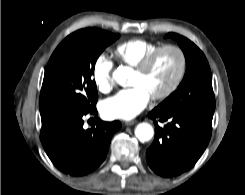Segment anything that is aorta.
<instances>
[{
    "instance_id": "762f6f07",
    "label": "aorta",
    "mask_w": 245,
    "mask_h": 195,
    "mask_svg": "<svg viewBox=\"0 0 245 195\" xmlns=\"http://www.w3.org/2000/svg\"><path fill=\"white\" fill-rule=\"evenodd\" d=\"M113 79L121 86L127 83V70L124 67H119L113 72ZM154 135L153 127L148 123H139L135 128V136L141 142L149 141Z\"/></svg>"
}]
</instances>
